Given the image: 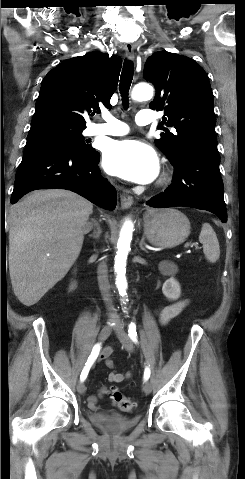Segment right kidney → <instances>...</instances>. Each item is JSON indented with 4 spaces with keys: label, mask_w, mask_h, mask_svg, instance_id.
<instances>
[{
    "label": "right kidney",
    "mask_w": 245,
    "mask_h": 479,
    "mask_svg": "<svg viewBox=\"0 0 245 479\" xmlns=\"http://www.w3.org/2000/svg\"><path fill=\"white\" fill-rule=\"evenodd\" d=\"M76 287V283H72L70 286V290H73Z\"/></svg>",
    "instance_id": "ca27d5eb"
}]
</instances>
